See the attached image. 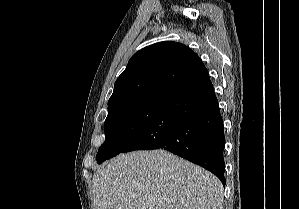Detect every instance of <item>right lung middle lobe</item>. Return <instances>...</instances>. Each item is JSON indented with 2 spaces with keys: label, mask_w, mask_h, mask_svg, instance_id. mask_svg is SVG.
<instances>
[{
  "label": "right lung middle lobe",
  "mask_w": 299,
  "mask_h": 209,
  "mask_svg": "<svg viewBox=\"0 0 299 209\" xmlns=\"http://www.w3.org/2000/svg\"><path fill=\"white\" fill-rule=\"evenodd\" d=\"M162 102L144 101L108 109L105 120V142L98 150L100 164L119 154L147 125Z\"/></svg>",
  "instance_id": "obj_1"
}]
</instances>
